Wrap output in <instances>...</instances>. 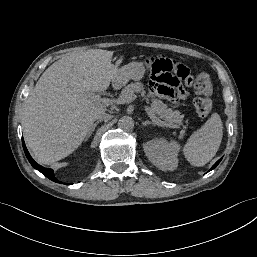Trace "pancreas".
Here are the masks:
<instances>
[{
    "label": "pancreas",
    "instance_id": "1",
    "mask_svg": "<svg viewBox=\"0 0 257 257\" xmlns=\"http://www.w3.org/2000/svg\"><path fill=\"white\" fill-rule=\"evenodd\" d=\"M135 93L145 94L144 86L140 82L131 83L126 86L122 91L120 96H131L135 95ZM148 97H153L151 93L148 94ZM151 107L153 113L157 114L159 118L163 119L167 123H179L183 119V115L178 110H173L172 108H168L166 104H164L159 99L152 98Z\"/></svg>",
    "mask_w": 257,
    "mask_h": 257
}]
</instances>
